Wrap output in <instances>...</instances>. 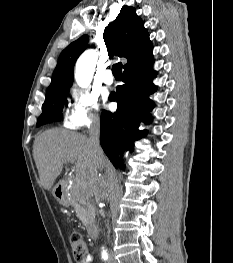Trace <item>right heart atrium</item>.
Returning <instances> with one entry per match:
<instances>
[{
  "instance_id": "obj_1",
  "label": "right heart atrium",
  "mask_w": 233,
  "mask_h": 263,
  "mask_svg": "<svg viewBox=\"0 0 233 263\" xmlns=\"http://www.w3.org/2000/svg\"><path fill=\"white\" fill-rule=\"evenodd\" d=\"M70 96V106L64 119L67 128L78 130L99 121V104L95 93L74 87L71 89Z\"/></svg>"
}]
</instances>
